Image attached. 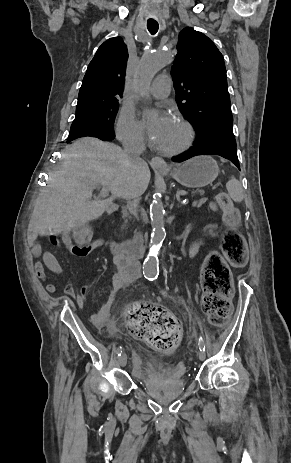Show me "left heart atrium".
Returning a JSON list of instances; mask_svg holds the SVG:
<instances>
[{
  "mask_svg": "<svg viewBox=\"0 0 291 463\" xmlns=\"http://www.w3.org/2000/svg\"><path fill=\"white\" fill-rule=\"evenodd\" d=\"M174 117L163 111H150L146 114L145 125L151 143L160 147L175 125Z\"/></svg>",
  "mask_w": 291,
  "mask_h": 463,
  "instance_id": "1",
  "label": "left heart atrium"
}]
</instances>
